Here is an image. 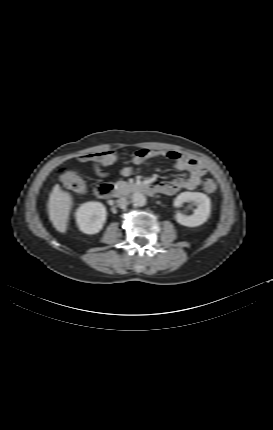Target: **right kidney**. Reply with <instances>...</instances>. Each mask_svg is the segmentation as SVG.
I'll use <instances>...</instances> for the list:
<instances>
[{
  "mask_svg": "<svg viewBox=\"0 0 273 430\" xmlns=\"http://www.w3.org/2000/svg\"><path fill=\"white\" fill-rule=\"evenodd\" d=\"M106 208L100 202L89 201L82 204L76 212L79 229L86 234L98 233L106 221Z\"/></svg>",
  "mask_w": 273,
  "mask_h": 430,
  "instance_id": "obj_1",
  "label": "right kidney"
}]
</instances>
